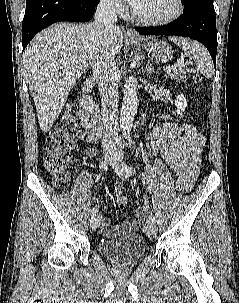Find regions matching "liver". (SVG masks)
Wrapping results in <instances>:
<instances>
[{"label":"liver","mask_w":239,"mask_h":303,"mask_svg":"<svg viewBox=\"0 0 239 303\" xmlns=\"http://www.w3.org/2000/svg\"><path fill=\"white\" fill-rule=\"evenodd\" d=\"M103 42L112 54H118L123 46L119 27L106 41L99 38L93 23L63 22L38 33L26 47L24 69L43 132L51 129L71 88Z\"/></svg>","instance_id":"liver-1"}]
</instances>
